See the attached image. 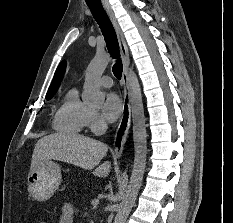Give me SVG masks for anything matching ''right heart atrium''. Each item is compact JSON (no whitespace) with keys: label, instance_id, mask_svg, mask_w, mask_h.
<instances>
[{"label":"right heart atrium","instance_id":"obj_1","mask_svg":"<svg viewBox=\"0 0 233 223\" xmlns=\"http://www.w3.org/2000/svg\"><path fill=\"white\" fill-rule=\"evenodd\" d=\"M87 127L92 132L101 134L106 130L107 124L97 111L90 110L87 119Z\"/></svg>","mask_w":233,"mask_h":223}]
</instances>
